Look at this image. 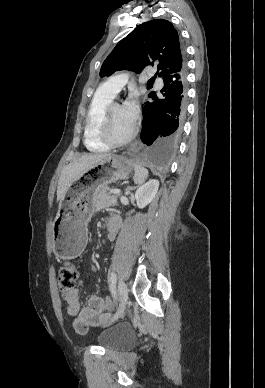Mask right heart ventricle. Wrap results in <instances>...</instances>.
Instances as JSON below:
<instances>
[{
	"label": "right heart ventricle",
	"instance_id": "1",
	"mask_svg": "<svg viewBox=\"0 0 265 388\" xmlns=\"http://www.w3.org/2000/svg\"><path fill=\"white\" fill-rule=\"evenodd\" d=\"M95 97L87 114L85 125V143L95 152L106 151L109 145L104 143L98 136V123L103 110L117 98V91L95 92Z\"/></svg>",
	"mask_w": 265,
	"mask_h": 388
}]
</instances>
